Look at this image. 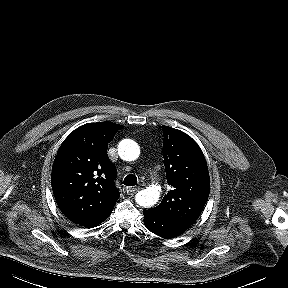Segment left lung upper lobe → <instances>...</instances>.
Instances as JSON below:
<instances>
[{
	"instance_id": "obj_1",
	"label": "left lung upper lobe",
	"mask_w": 288,
	"mask_h": 288,
	"mask_svg": "<svg viewBox=\"0 0 288 288\" xmlns=\"http://www.w3.org/2000/svg\"><path fill=\"white\" fill-rule=\"evenodd\" d=\"M163 158L172 188L151 211L188 229L201 214L210 191L209 173L198 144L186 133L162 126Z\"/></svg>"
}]
</instances>
